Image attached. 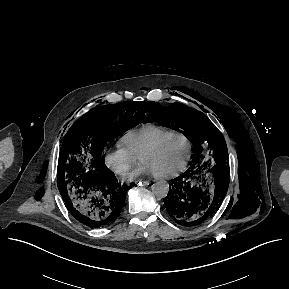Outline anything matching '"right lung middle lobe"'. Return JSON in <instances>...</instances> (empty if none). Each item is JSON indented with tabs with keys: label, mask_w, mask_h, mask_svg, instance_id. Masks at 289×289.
Returning <instances> with one entry per match:
<instances>
[{
	"label": "right lung middle lobe",
	"mask_w": 289,
	"mask_h": 289,
	"mask_svg": "<svg viewBox=\"0 0 289 289\" xmlns=\"http://www.w3.org/2000/svg\"><path fill=\"white\" fill-rule=\"evenodd\" d=\"M141 102L127 101L113 105L97 106L81 116L66 133L58 160L57 184L59 191L69 188L73 182L89 170L105 167L102 151L111 137L116 138L139 124ZM124 115L115 118L119 111Z\"/></svg>",
	"instance_id": "dd1d6c3e"
}]
</instances>
